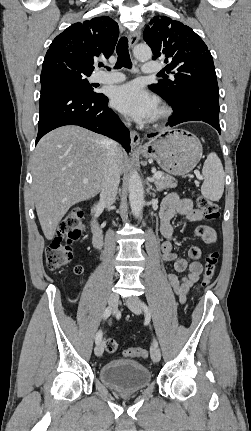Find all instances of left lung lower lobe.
Wrapping results in <instances>:
<instances>
[{
	"instance_id": "0a47b994",
	"label": "left lung lower lobe",
	"mask_w": 251,
	"mask_h": 431,
	"mask_svg": "<svg viewBox=\"0 0 251 431\" xmlns=\"http://www.w3.org/2000/svg\"><path fill=\"white\" fill-rule=\"evenodd\" d=\"M219 93L197 91L187 95L181 103L173 108V116L167 125L171 127L186 121H203L212 125L220 133L219 125ZM157 133L149 134L153 137Z\"/></svg>"
}]
</instances>
